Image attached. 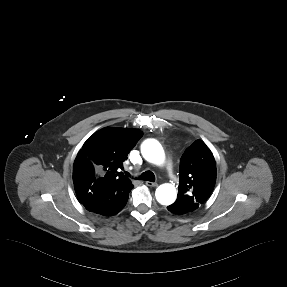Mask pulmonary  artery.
Wrapping results in <instances>:
<instances>
[{
  "mask_svg": "<svg viewBox=\"0 0 287 287\" xmlns=\"http://www.w3.org/2000/svg\"><path fill=\"white\" fill-rule=\"evenodd\" d=\"M164 168L171 177L174 176V169L171 161H167L164 165Z\"/></svg>",
  "mask_w": 287,
  "mask_h": 287,
  "instance_id": "obj_1",
  "label": "pulmonary artery"
}]
</instances>
